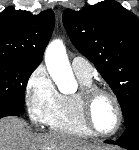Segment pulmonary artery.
Returning <instances> with one entry per match:
<instances>
[{
	"instance_id": "1",
	"label": "pulmonary artery",
	"mask_w": 139,
	"mask_h": 150,
	"mask_svg": "<svg viewBox=\"0 0 139 150\" xmlns=\"http://www.w3.org/2000/svg\"><path fill=\"white\" fill-rule=\"evenodd\" d=\"M72 69L76 76L91 80L93 77V67L88 60L83 57H75L72 60Z\"/></svg>"
}]
</instances>
